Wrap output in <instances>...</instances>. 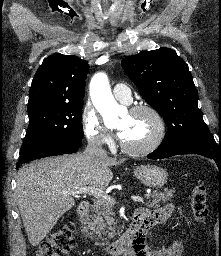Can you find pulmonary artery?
<instances>
[{
	"instance_id": "1",
	"label": "pulmonary artery",
	"mask_w": 221,
	"mask_h": 256,
	"mask_svg": "<svg viewBox=\"0 0 221 256\" xmlns=\"http://www.w3.org/2000/svg\"><path fill=\"white\" fill-rule=\"evenodd\" d=\"M113 95L123 103H130L132 100L130 88L123 83H118L113 87Z\"/></svg>"
}]
</instances>
